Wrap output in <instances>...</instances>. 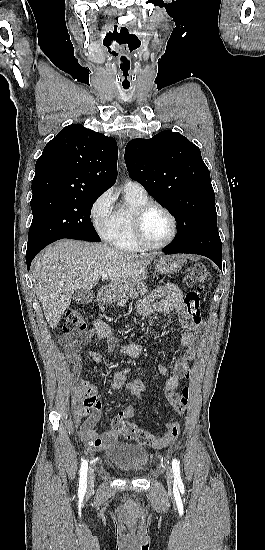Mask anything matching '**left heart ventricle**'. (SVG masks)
Segmentation results:
<instances>
[{
  "label": "left heart ventricle",
  "instance_id": "obj_1",
  "mask_svg": "<svg viewBox=\"0 0 265 550\" xmlns=\"http://www.w3.org/2000/svg\"><path fill=\"white\" fill-rule=\"evenodd\" d=\"M143 230L146 239L150 243H163L171 233L170 218L162 210L153 209L144 218Z\"/></svg>",
  "mask_w": 265,
  "mask_h": 550
}]
</instances>
